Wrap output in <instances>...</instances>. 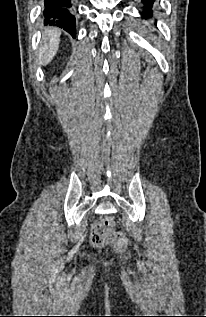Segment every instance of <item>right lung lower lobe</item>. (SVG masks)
Here are the masks:
<instances>
[{"label": "right lung lower lobe", "mask_w": 206, "mask_h": 317, "mask_svg": "<svg viewBox=\"0 0 206 317\" xmlns=\"http://www.w3.org/2000/svg\"><path fill=\"white\" fill-rule=\"evenodd\" d=\"M45 24L56 25L76 36L73 0H44Z\"/></svg>", "instance_id": "1"}]
</instances>
